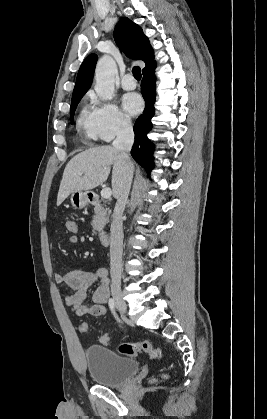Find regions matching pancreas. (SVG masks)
<instances>
[{"mask_svg": "<svg viewBox=\"0 0 267 419\" xmlns=\"http://www.w3.org/2000/svg\"><path fill=\"white\" fill-rule=\"evenodd\" d=\"M94 213L95 214L91 225L93 228V232L95 233L96 231H101L103 226L108 222L109 210L105 206L99 205L95 206Z\"/></svg>", "mask_w": 267, "mask_h": 419, "instance_id": "cf45deb5", "label": "pancreas"}]
</instances>
